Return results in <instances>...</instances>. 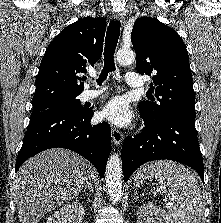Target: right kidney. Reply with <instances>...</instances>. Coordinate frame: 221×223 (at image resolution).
Masks as SVG:
<instances>
[{
	"label": "right kidney",
	"instance_id": "right-kidney-1",
	"mask_svg": "<svg viewBox=\"0 0 221 223\" xmlns=\"http://www.w3.org/2000/svg\"><path fill=\"white\" fill-rule=\"evenodd\" d=\"M84 214L83 204L76 201L55 211L47 219V223H82Z\"/></svg>",
	"mask_w": 221,
	"mask_h": 223
}]
</instances>
